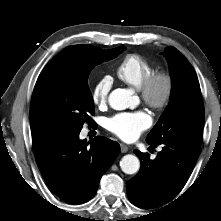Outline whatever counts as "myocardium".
I'll return each mask as SVG.
<instances>
[{
    "mask_svg": "<svg viewBox=\"0 0 221 221\" xmlns=\"http://www.w3.org/2000/svg\"><path fill=\"white\" fill-rule=\"evenodd\" d=\"M144 103L150 108L162 111L170 104L174 93V79L165 70L153 71L139 87Z\"/></svg>",
    "mask_w": 221,
    "mask_h": 221,
    "instance_id": "f54148a6",
    "label": "myocardium"
}]
</instances>
